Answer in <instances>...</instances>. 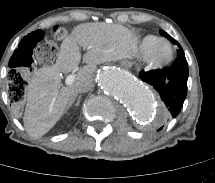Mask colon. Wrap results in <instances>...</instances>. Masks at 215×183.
Masks as SVG:
<instances>
[{"label":"colon","mask_w":215,"mask_h":183,"mask_svg":"<svg viewBox=\"0 0 215 183\" xmlns=\"http://www.w3.org/2000/svg\"><path fill=\"white\" fill-rule=\"evenodd\" d=\"M66 29L60 24L52 28H41L30 33L26 42L18 47V53L12 60L9 75V92L14 103L22 102L27 87L25 74L30 65L48 67L52 64Z\"/></svg>","instance_id":"obj_1"}]
</instances>
